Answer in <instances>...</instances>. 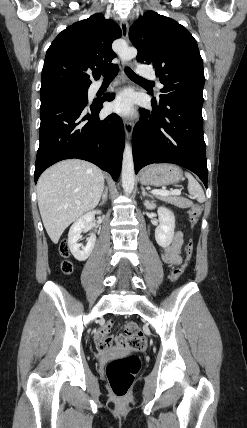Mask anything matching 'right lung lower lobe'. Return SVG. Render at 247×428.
I'll list each match as a JSON object with an SVG mask.
<instances>
[{"instance_id":"right-lung-lower-lobe-1","label":"right lung lower lobe","mask_w":247,"mask_h":428,"mask_svg":"<svg viewBox=\"0 0 247 428\" xmlns=\"http://www.w3.org/2000/svg\"><path fill=\"white\" fill-rule=\"evenodd\" d=\"M114 95L87 102L53 101L40 106V145L34 179L54 163L70 158L87 160L119 177L124 148V127L116 114L99 119L104 101Z\"/></svg>"}]
</instances>
